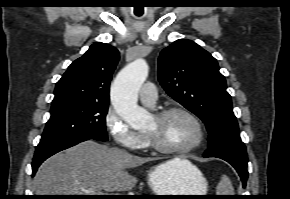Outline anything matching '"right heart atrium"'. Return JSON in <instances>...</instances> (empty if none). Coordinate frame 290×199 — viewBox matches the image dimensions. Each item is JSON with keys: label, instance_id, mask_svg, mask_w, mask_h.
<instances>
[{"label": "right heart atrium", "instance_id": "right-heart-atrium-1", "mask_svg": "<svg viewBox=\"0 0 290 199\" xmlns=\"http://www.w3.org/2000/svg\"><path fill=\"white\" fill-rule=\"evenodd\" d=\"M105 124L119 146L129 150H138L142 147L144 135L132 129L115 109H108Z\"/></svg>", "mask_w": 290, "mask_h": 199}]
</instances>
